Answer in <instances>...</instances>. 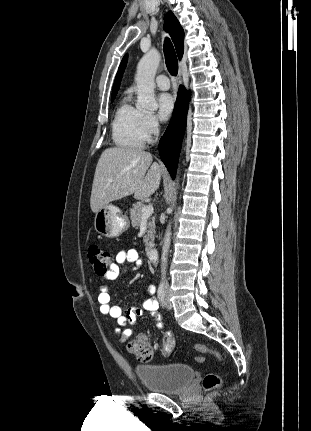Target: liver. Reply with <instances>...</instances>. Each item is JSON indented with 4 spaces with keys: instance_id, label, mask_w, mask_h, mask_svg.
I'll return each mask as SVG.
<instances>
[{
    "instance_id": "1",
    "label": "liver",
    "mask_w": 311,
    "mask_h": 431,
    "mask_svg": "<svg viewBox=\"0 0 311 431\" xmlns=\"http://www.w3.org/2000/svg\"><path fill=\"white\" fill-rule=\"evenodd\" d=\"M162 168L141 148H107L96 166L90 208L99 212L110 202L134 194L135 200L150 198L161 184Z\"/></svg>"
}]
</instances>
